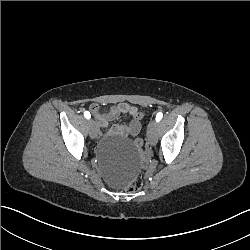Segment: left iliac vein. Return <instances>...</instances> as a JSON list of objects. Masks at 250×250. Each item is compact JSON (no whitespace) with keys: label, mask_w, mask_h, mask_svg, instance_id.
<instances>
[{"label":"left iliac vein","mask_w":250,"mask_h":250,"mask_svg":"<svg viewBox=\"0 0 250 250\" xmlns=\"http://www.w3.org/2000/svg\"><path fill=\"white\" fill-rule=\"evenodd\" d=\"M157 134H158V124L157 121L152 120L148 124V129H147V137H148V142L151 145H155L157 142Z\"/></svg>","instance_id":"left-iliac-vein-1"}]
</instances>
